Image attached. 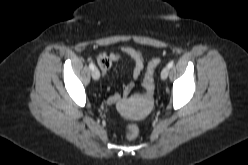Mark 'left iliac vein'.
<instances>
[{"label": "left iliac vein", "instance_id": "obj_1", "mask_svg": "<svg viewBox=\"0 0 248 165\" xmlns=\"http://www.w3.org/2000/svg\"><path fill=\"white\" fill-rule=\"evenodd\" d=\"M168 74H169V68L164 67L160 73L161 79L165 80L168 77Z\"/></svg>", "mask_w": 248, "mask_h": 165}]
</instances>
